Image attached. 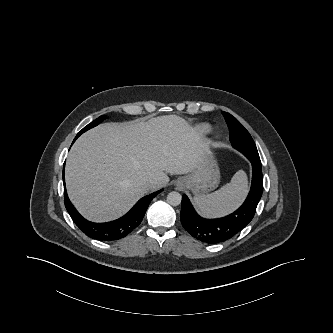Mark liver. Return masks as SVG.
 <instances>
[{
  "label": "liver",
  "instance_id": "1",
  "mask_svg": "<svg viewBox=\"0 0 333 333\" xmlns=\"http://www.w3.org/2000/svg\"><path fill=\"white\" fill-rule=\"evenodd\" d=\"M209 142L183 118L105 123L78 138L66 162L70 200L88 220L106 222L169 182L167 173L192 172ZM156 183L150 185L148 180Z\"/></svg>",
  "mask_w": 333,
  "mask_h": 333
}]
</instances>
